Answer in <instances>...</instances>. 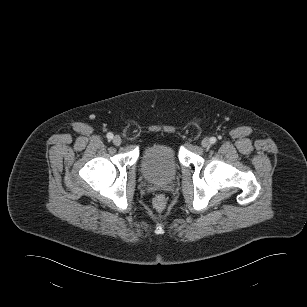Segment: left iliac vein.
<instances>
[{
	"label": "left iliac vein",
	"instance_id": "obj_1",
	"mask_svg": "<svg viewBox=\"0 0 307 307\" xmlns=\"http://www.w3.org/2000/svg\"><path fill=\"white\" fill-rule=\"evenodd\" d=\"M202 147L207 148L210 146V140L208 138H204L201 142Z\"/></svg>",
	"mask_w": 307,
	"mask_h": 307
}]
</instances>
